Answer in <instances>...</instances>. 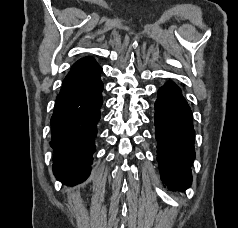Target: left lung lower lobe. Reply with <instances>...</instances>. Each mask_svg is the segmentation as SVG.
<instances>
[{
	"instance_id": "left-lung-lower-lobe-1",
	"label": "left lung lower lobe",
	"mask_w": 238,
	"mask_h": 228,
	"mask_svg": "<svg viewBox=\"0 0 238 228\" xmlns=\"http://www.w3.org/2000/svg\"><path fill=\"white\" fill-rule=\"evenodd\" d=\"M154 121L161 178L170 190H185L192 181L195 158L193 116L180 88L171 81L158 90Z\"/></svg>"
}]
</instances>
